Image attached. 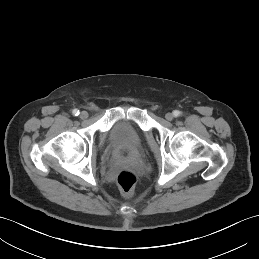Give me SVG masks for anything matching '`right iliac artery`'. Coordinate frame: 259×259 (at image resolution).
I'll return each instance as SVG.
<instances>
[{
	"label": "right iliac artery",
	"instance_id": "right-iliac-artery-1",
	"mask_svg": "<svg viewBox=\"0 0 259 259\" xmlns=\"http://www.w3.org/2000/svg\"><path fill=\"white\" fill-rule=\"evenodd\" d=\"M72 113H73V115L78 116L79 115V110L78 109H74L72 111Z\"/></svg>",
	"mask_w": 259,
	"mask_h": 259
}]
</instances>
